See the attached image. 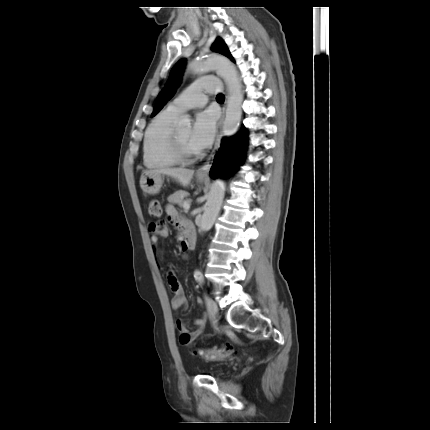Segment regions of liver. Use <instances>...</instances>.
<instances>
[{"mask_svg":"<svg viewBox=\"0 0 430 430\" xmlns=\"http://www.w3.org/2000/svg\"><path fill=\"white\" fill-rule=\"evenodd\" d=\"M149 173L167 175L175 179L182 186L187 187L192 180V177L194 175V170L186 169V168H162V169L143 171V174H149Z\"/></svg>","mask_w":430,"mask_h":430,"instance_id":"liver-1","label":"liver"}]
</instances>
